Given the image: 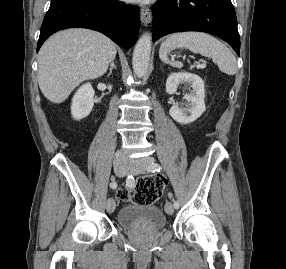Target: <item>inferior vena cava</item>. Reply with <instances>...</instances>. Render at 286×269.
I'll use <instances>...</instances> for the list:
<instances>
[{
  "instance_id": "602c4592",
  "label": "inferior vena cava",
  "mask_w": 286,
  "mask_h": 269,
  "mask_svg": "<svg viewBox=\"0 0 286 269\" xmlns=\"http://www.w3.org/2000/svg\"><path fill=\"white\" fill-rule=\"evenodd\" d=\"M115 157L117 160H126V154L122 151H117Z\"/></svg>"
}]
</instances>
